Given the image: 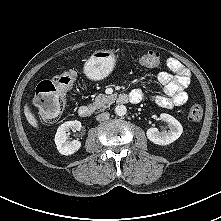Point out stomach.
I'll list each match as a JSON object with an SVG mask.
<instances>
[{
    "instance_id": "1",
    "label": "stomach",
    "mask_w": 221,
    "mask_h": 221,
    "mask_svg": "<svg viewBox=\"0 0 221 221\" xmlns=\"http://www.w3.org/2000/svg\"><path fill=\"white\" fill-rule=\"evenodd\" d=\"M116 64L115 52L112 50H97L84 65V73L92 80L106 78Z\"/></svg>"
}]
</instances>
